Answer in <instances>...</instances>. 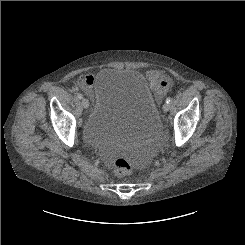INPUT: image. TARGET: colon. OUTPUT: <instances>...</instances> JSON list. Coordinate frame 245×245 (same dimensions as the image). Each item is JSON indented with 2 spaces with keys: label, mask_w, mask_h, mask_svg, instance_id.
I'll use <instances>...</instances> for the list:
<instances>
[{
  "label": "colon",
  "mask_w": 245,
  "mask_h": 245,
  "mask_svg": "<svg viewBox=\"0 0 245 245\" xmlns=\"http://www.w3.org/2000/svg\"><path fill=\"white\" fill-rule=\"evenodd\" d=\"M114 171L119 176L127 175L131 171V163L124 158H118L114 161Z\"/></svg>",
  "instance_id": "obj_1"
}]
</instances>
